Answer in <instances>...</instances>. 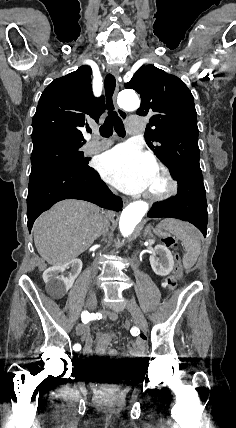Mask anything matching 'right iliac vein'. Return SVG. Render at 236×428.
<instances>
[{
  "label": "right iliac vein",
  "instance_id": "63e3f726",
  "mask_svg": "<svg viewBox=\"0 0 236 428\" xmlns=\"http://www.w3.org/2000/svg\"><path fill=\"white\" fill-rule=\"evenodd\" d=\"M87 303L89 304V309L92 311L98 306V303L96 302V298L93 295L87 296ZM87 339V334H82L81 344L84 343V341Z\"/></svg>",
  "mask_w": 236,
  "mask_h": 428
}]
</instances>
